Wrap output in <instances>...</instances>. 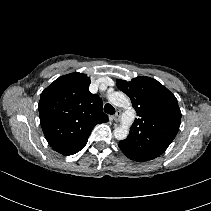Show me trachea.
<instances>
[{"label": "trachea", "instance_id": "obj_1", "mask_svg": "<svg viewBox=\"0 0 211 211\" xmlns=\"http://www.w3.org/2000/svg\"><path fill=\"white\" fill-rule=\"evenodd\" d=\"M104 111L107 113V114H110V115H113L115 113V108L107 103L105 106H104Z\"/></svg>", "mask_w": 211, "mask_h": 211}]
</instances>
